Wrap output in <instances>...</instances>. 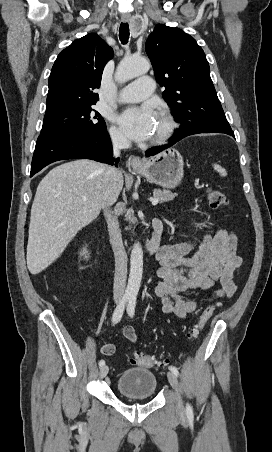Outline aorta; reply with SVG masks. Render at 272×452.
<instances>
[{"instance_id": "1", "label": "aorta", "mask_w": 272, "mask_h": 452, "mask_svg": "<svg viewBox=\"0 0 272 452\" xmlns=\"http://www.w3.org/2000/svg\"><path fill=\"white\" fill-rule=\"evenodd\" d=\"M150 69V63L145 58L126 56L117 70V79L127 81L139 75L145 74ZM143 273V250L140 243L133 245L130 255V273L126 292L129 295L138 294Z\"/></svg>"}]
</instances>
